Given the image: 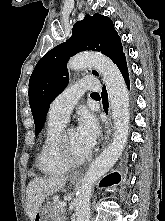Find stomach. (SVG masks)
I'll list each match as a JSON object with an SVG mask.
<instances>
[{
  "mask_svg": "<svg viewBox=\"0 0 165 221\" xmlns=\"http://www.w3.org/2000/svg\"><path fill=\"white\" fill-rule=\"evenodd\" d=\"M70 181L72 184L77 183V180L75 178H71ZM34 221H57V217L52 210L51 204L41 205L39 210L37 211Z\"/></svg>",
  "mask_w": 165,
  "mask_h": 221,
  "instance_id": "obj_1",
  "label": "stomach"
}]
</instances>
